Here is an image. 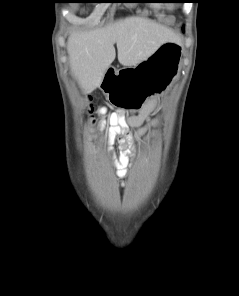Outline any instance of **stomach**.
Returning <instances> with one entry per match:
<instances>
[{"mask_svg":"<svg viewBox=\"0 0 239 296\" xmlns=\"http://www.w3.org/2000/svg\"><path fill=\"white\" fill-rule=\"evenodd\" d=\"M182 56V45L178 41L162 43L147 59L132 69H119L115 84L154 85H100V90L109 94V101L123 111H140L146 98L170 90L167 85L177 73Z\"/></svg>","mask_w":239,"mask_h":296,"instance_id":"obj_1","label":"stomach"}]
</instances>
